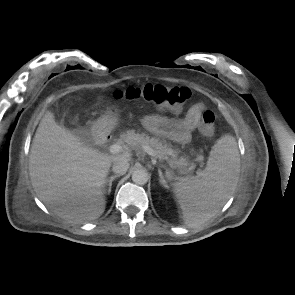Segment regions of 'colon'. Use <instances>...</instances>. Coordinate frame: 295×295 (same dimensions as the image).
<instances>
[{
  "instance_id": "obj_1",
  "label": "colon",
  "mask_w": 295,
  "mask_h": 295,
  "mask_svg": "<svg viewBox=\"0 0 295 295\" xmlns=\"http://www.w3.org/2000/svg\"><path fill=\"white\" fill-rule=\"evenodd\" d=\"M191 92L184 87H167L157 84L145 86H131L117 90L114 97L118 100H145L160 107H166L173 111H179L190 98ZM199 131L205 136H211L215 131V114L205 110L202 114Z\"/></svg>"
}]
</instances>
